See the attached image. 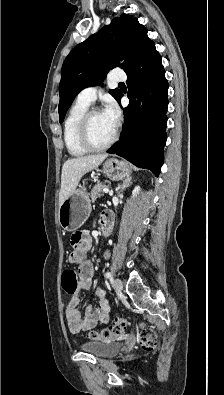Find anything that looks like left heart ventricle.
Returning a JSON list of instances; mask_svg holds the SVG:
<instances>
[{
    "label": "left heart ventricle",
    "instance_id": "left-heart-ventricle-1",
    "mask_svg": "<svg viewBox=\"0 0 224 395\" xmlns=\"http://www.w3.org/2000/svg\"><path fill=\"white\" fill-rule=\"evenodd\" d=\"M115 130V125L112 124L102 112L95 113L89 125V134L93 143L102 145L106 143Z\"/></svg>",
    "mask_w": 224,
    "mask_h": 395
}]
</instances>
